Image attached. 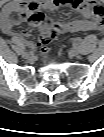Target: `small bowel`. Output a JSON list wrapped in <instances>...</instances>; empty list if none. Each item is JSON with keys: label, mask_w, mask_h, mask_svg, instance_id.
Segmentation results:
<instances>
[{"label": "small bowel", "mask_w": 104, "mask_h": 137, "mask_svg": "<svg viewBox=\"0 0 104 137\" xmlns=\"http://www.w3.org/2000/svg\"><path fill=\"white\" fill-rule=\"evenodd\" d=\"M60 7H69L79 11L86 20L67 24H57L47 17L41 23L31 20L39 10L53 11ZM104 7L97 0H30L13 1L7 3L0 14V27L3 33L23 40L28 36L27 31L14 32L13 26L21 23H30L40 27L41 30L54 28L58 33L95 32L103 27Z\"/></svg>", "instance_id": "small-bowel-1"}]
</instances>
